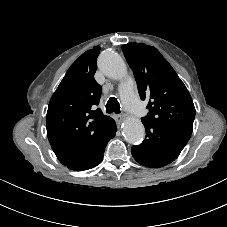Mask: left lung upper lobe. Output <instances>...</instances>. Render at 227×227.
<instances>
[{
  "label": "left lung upper lobe",
  "instance_id": "5c2ea615",
  "mask_svg": "<svg viewBox=\"0 0 227 227\" xmlns=\"http://www.w3.org/2000/svg\"><path fill=\"white\" fill-rule=\"evenodd\" d=\"M134 72L142 100H149L143 124H153L190 139L195 107L184 83L153 46L128 43L122 46Z\"/></svg>",
  "mask_w": 227,
  "mask_h": 227
}]
</instances>
